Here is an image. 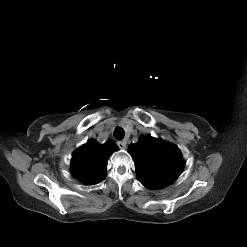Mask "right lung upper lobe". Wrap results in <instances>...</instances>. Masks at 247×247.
<instances>
[{"instance_id":"right-lung-upper-lobe-1","label":"right lung upper lobe","mask_w":247,"mask_h":247,"mask_svg":"<svg viewBox=\"0 0 247 247\" xmlns=\"http://www.w3.org/2000/svg\"><path fill=\"white\" fill-rule=\"evenodd\" d=\"M117 149L113 142L98 144L94 140L87 141L73 153L71 173L84 184L99 183L105 177L110 155Z\"/></svg>"}]
</instances>
